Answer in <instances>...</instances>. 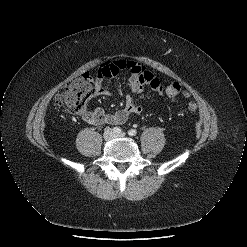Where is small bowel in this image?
<instances>
[{"instance_id":"small-bowel-1","label":"small bowel","mask_w":247,"mask_h":247,"mask_svg":"<svg viewBox=\"0 0 247 247\" xmlns=\"http://www.w3.org/2000/svg\"><path fill=\"white\" fill-rule=\"evenodd\" d=\"M121 71H127L130 74L129 85L133 94H138L145 88H151L159 95L165 93L161 81L141 64L131 60H114L101 64L95 81V94L97 96H110V91L104 88L102 84L103 79L116 76ZM141 112L142 107L135 102L132 95H128L122 110L106 113L102 108L97 107L93 111L83 112L81 118L86 123L94 126L118 125L125 123L131 115L140 114Z\"/></svg>"}]
</instances>
